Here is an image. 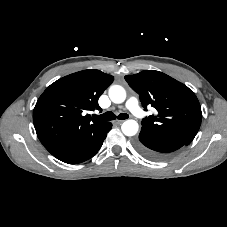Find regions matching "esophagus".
I'll return each mask as SVG.
<instances>
[{"label": "esophagus", "instance_id": "esophagus-1", "mask_svg": "<svg viewBox=\"0 0 227 227\" xmlns=\"http://www.w3.org/2000/svg\"><path fill=\"white\" fill-rule=\"evenodd\" d=\"M123 122H124V120H115V121H114V123H115V124H118V125L121 124V123H123Z\"/></svg>", "mask_w": 227, "mask_h": 227}]
</instances>
